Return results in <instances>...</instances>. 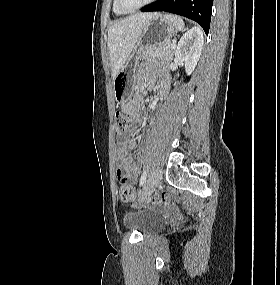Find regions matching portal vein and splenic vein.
Wrapping results in <instances>:
<instances>
[{
    "label": "portal vein and splenic vein",
    "mask_w": 280,
    "mask_h": 285,
    "mask_svg": "<svg viewBox=\"0 0 280 285\" xmlns=\"http://www.w3.org/2000/svg\"><path fill=\"white\" fill-rule=\"evenodd\" d=\"M175 47H176L175 43L171 44V49H175Z\"/></svg>",
    "instance_id": "obj_1"
}]
</instances>
